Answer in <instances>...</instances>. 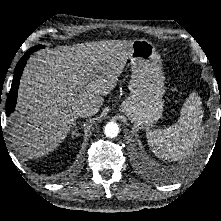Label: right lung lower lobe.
Returning <instances> with one entry per match:
<instances>
[{"instance_id":"98d812e1","label":"right lung lower lobe","mask_w":221,"mask_h":221,"mask_svg":"<svg viewBox=\"0 0 221 221\" xmlns=\"http://www.w3.org/2000/svg\"><path fill=\"white\" fill-rule=\"evenodd\" d=\"M41 49L40 46H34L32 48H30L25 55L19 60L18 64L15 67V73H14V77H13V81H12V85H11V89L6 101V114L7 116L10 115V113L12 111H14L15 109V105H16V100H17V90H18V86H19V82H20V77L22 75V71L26 65V60L30 57V54L33 53L34 51H37Z\"/></svg>"}]
</instances>
